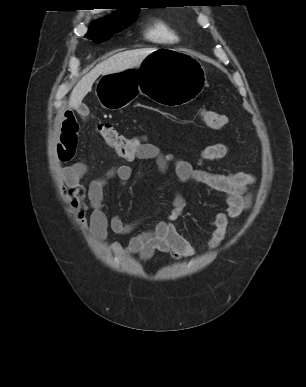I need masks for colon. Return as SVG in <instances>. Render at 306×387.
Here are the masks:
<instances>
[{
  "label": "colon",
  "instance_id": "obj_1",
  "mask_svg": "<svg viewBox=\"0 0 306 387\" xmlns=\"http://www.w3.org/2000/svg\"><path fill=\"white\" fill-rule=\"evenodd\" d=\"M200 116L203 124L210 129H220L228 122L226 115L207 109H202ZM97 131L107 145L123 159L133 155L145 143L144 138L128 137L110 123H98Z\"/></svg>",
  "mask_w": 306,
  "mask_h": 387
}]
</instances>
